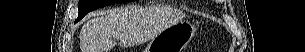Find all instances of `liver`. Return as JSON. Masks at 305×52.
Returning a JSON list of instances; mask_svg holds the SVG:
<instances>
[{"label":"liver","mask_w":305,"mask_h":52,"mask_svg":"<svg viewBox=\"0 0 305 52\" xmlns=\"http://www.w3.org/2000/svg\"><path fill=\"white\" fill-rule=\"evenodd\" d=\"M93 16L80 31L82 52H109L116 45L114 39L123 44L152 39L184 17L183 13L175 12L161 27L155 25L152 29L151 25H146L145 10L139 7H125Z\"/></svg>","instance_id":"1"}]
</instances>
